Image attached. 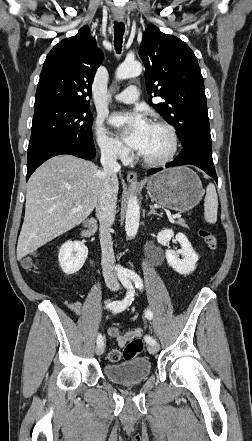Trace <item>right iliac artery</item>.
Masks as SVG:
<instances>
[{"mask_svg": "<svg viewBox=\"0 0 252 441\" xmlns=\"http://www.w3.org/2000/svg\"><path fill=\"white\" fill-rule=\"evenodd\" d=\"M122 284L125 286V288L128 290L126 297L123 300H119V301H114L109 303L106 308L112 310L116 313L122 312L124 311L128 306L131 305L132 301L134 300V287L132 285V283L128 280V279H124L121 281ZM103 343V338L101 336V334L98 335L97 337V345L100 346Z\"/></svg>", "mask_w": 252, "mask_h": 441, "instance_id": "1", "label": "right iliac artery"}]
</instances>
